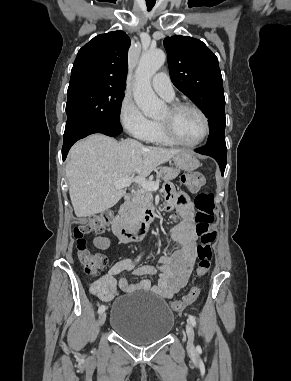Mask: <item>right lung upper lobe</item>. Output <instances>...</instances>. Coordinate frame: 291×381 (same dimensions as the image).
Returning a JSON list of instances; mask_svg holds the SVG:
<instances>
[{
    "instance_id": "right-lung-upper-lobe-1",
    "label": "right lung upper lobe",
    "mask_w": 291,
    "mask_h": 381,
    "mask_svg": "<svg viewBox=\"0 0 291 381\" xmlns=\"http://www.w3.org/2000/svg\"><path fill=\"white\" fill-rule=\"evenodd\" d=\"M129 47L130 39L123 31L94 37L78 51L69 84L125 88Z\"/></svg>"
}]
</instances>
